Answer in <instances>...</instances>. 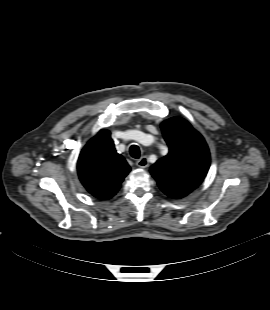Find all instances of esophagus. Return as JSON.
I'll return each instance as SVG.
<instances>
[{"instance_id":"34e87169","label":"esophagus","mask_w":270,"mask_h":310,"mask_svg":"<svg viewBox=\"0 0 270 310\" xmlns=\"http://www.w3.org/2000/svg\"><path fill=\"white\" fill-rule=\"evenodd\" d=\"M136 165L140 168H147L149 166L147 157H142L139 160H137Z\"/></svg>"}]
</instances>
